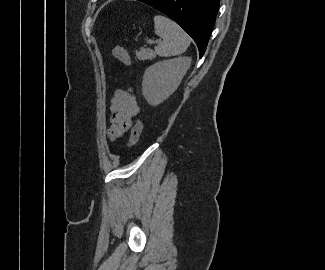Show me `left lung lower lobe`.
Instances as JSON below:
<instances>
[{
	"label": "left lung lower lobe",
	"mask_w": 325,
	"mask_h": 270,
	"mask_svg": "<svg viewBox=\"0 0 325 270\" xmlns=\"http://www.w3.org/2000/svg\"><path fill=\"white\" fill-rule=\"evenodd\" d=\"M177 22L193 38L201 58L210 38L220 0H138Z\"/></svg>",
	"instance_id": "left-lung-lower-lobe-1"
}]
</instances>
